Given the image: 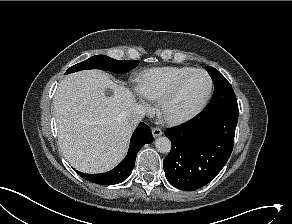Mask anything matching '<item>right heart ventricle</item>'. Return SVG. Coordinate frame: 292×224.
I'll use <instances>...</instances> for the list:
<instances>
[{"instance_id": "right-heart-ventricle-1", "label": "right heart ventricle", "mask_w": 292, "mask_h": 224, "mask_svg": "<svg viewBox=\"0 0 292 224\" xmlns=\"http://www.w3.org/2000/svg\"><path fill=\"white\" fill-rule=\"evenodd\" d=\"M195 70L190 66H169L148 69L137 79V88L143 97L158 101L184 75Z\"/></svg>"}]
</instances>
